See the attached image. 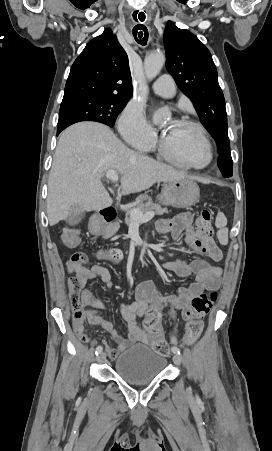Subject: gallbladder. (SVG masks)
Instances as JSON below:
<instances>
[{
	"label": "gallbladder",
	"mask_w": 272,
	"mask_h": 451,
	"mask_svg": "<svg viewBox=\"0 0 272 451\" xmlns=\"http://www.w3.org/2000/svg\"><path fill=\"white\" fill-rule=\"evenodd\" d=\"M83 216L84 212H81V214H73V216H69V218H67V222L70 226H75V224H79V222H81Z\"/></svg>",
	"instance_id": "gallbladder-1"
}]
</instances>
